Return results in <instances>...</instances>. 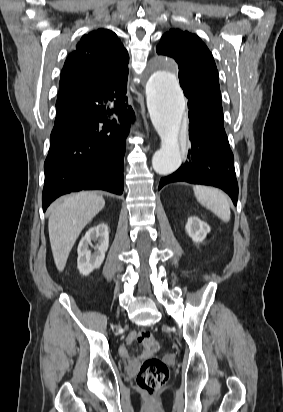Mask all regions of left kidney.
I'll list each match as a JSON object with an SVG mask.
<instances>
[{"mask_svg":"<svg viewBox=\"0 0 283 412\" xmlns=\"http://www.w3.org/2000/svg\"><path fill=\"white\" fill-rule=\"evenodd\" d=\"M186 232L192 238L193 242H202L207 233L210 232V227L207 223L201 221L197 217H189L185 227Z\"/></svg>","mask_w":283,"mask_h":412,"instance_id":"left-kidney-1","label":"left kidney"}]
</instances>
